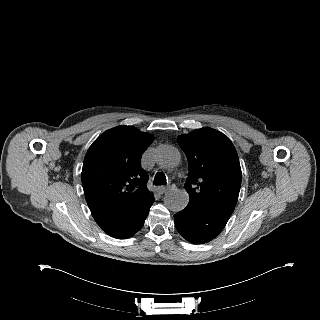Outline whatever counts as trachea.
Here are the masks:
<instances>
[{"label":"trachea","instance_id":"obj_1","mask_svg":"<svg viewBox=\"0 0 320 320\" xmlns=\"http://www.w3.org/2000/svg\"><path fill=\"white\" fill-rule=\"evenodd\" d=\"M167 180L163 172H158L154 178V185H166Z\"/></svg>","mask_w":320,"mask_h":320}]
</instances>
